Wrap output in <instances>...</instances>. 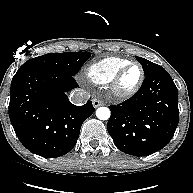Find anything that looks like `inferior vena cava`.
Here are the masks:
<instances>
[{"instance_id": "602c4592", "label": "inferior vena cava", "mask_w": 193, "mask_h": 193, "mask_svg": "<svg viewBox=\"0 0 193 193\" xmlns=\"http://www.w3.org/2000/svg\"><path fill=\"white\" fill-rule=\"evenodd\" d=\"M90 98V94L81 88H78L73 91V93L70 95V101L71 103L75 105H82L83 103H86Z\"/></svg>"}]
</instances>
